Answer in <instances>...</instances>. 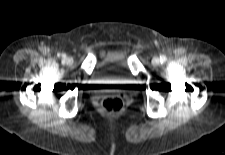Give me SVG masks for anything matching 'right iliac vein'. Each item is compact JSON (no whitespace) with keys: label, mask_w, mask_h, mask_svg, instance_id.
Wrapping results in <instances>:
<instances>
[{"label":"right iliac vein","mask_w":225,"mask_h":155,"mask_svg":"<svg viewBox=\"0 0 225 155\" xmlns=\"http://www.w3.org/2000/svg\"><path fill=\"white\" fill-rule=\"evenodd\" d=\"M65 62H66L67 65H72L73 64V58L72 57H67L65 59Z\"/></svg>","instance_id":"1"}]
</instances>
